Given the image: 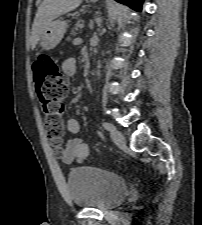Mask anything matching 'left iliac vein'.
<instances>
[{"label": "left iliac vein", "mask_w": 202, "mask_h": 225, "mask_svg": "<svg viewBox=\"0 0 202 225\" xmlns=\"http://www.w3.org/2000/svg\"><path fill=\"white\" fill-rule=\"evenodd\" d=\"M110 134L112 140L116 145H118L119 147H123L125 145V137L120 131L115 129L110 131Z\"/></svg>", "instance_id": "4c4485c4"}]
</instances>
